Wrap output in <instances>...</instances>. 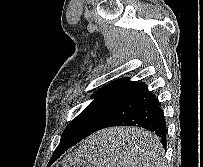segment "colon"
I'll return each mask as SVG.
<instances>
[{
	"label": "colon",
	"instance_id": "5ec220e1",
	"mask_svg": "<svg viewBox=\"0 0 203 167\" xmlns=\"http://www.w3.org/2000/svg\"><path fill=\"white\" fill-rule=\"evenodd\" d=\"M58 167H92L91 165L81 161L76 156H67Z\"/></svg>",
	"mask_w": 203,
	"mask_h": 167
}]
</instances>
